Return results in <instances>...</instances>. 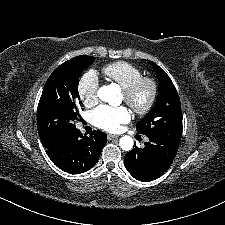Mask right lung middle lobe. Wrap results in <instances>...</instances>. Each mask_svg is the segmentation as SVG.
Wrapping results in <instances>:
<instances>
[{
    "label": "right lung middle lobe",
    "mask_w": 225,
    "mask_h": 225,
    "mask_svg": "<svg viewBox=\"0 0 225 225\" xmlns=\"http://www.w3.org/2000/svg\"><path fill=\"white\" fill-rule=\"evenodd\" d=\"M95 58L81 55L58 66L43 88L37 109V129L42 144L60 142L76 129L79 77Z\"/></svg>",
    "instance_id": "right-lung-middle-lobe-1"
}]
</instances>
